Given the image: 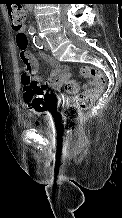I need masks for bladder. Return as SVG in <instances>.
<instances>
[{
  "instance_id": "bladder-1",
  "label": "bladder",
  "mask_w": 122,
  "mask_h": 218,
  "mask_svg": "<svg viewBox=\"0 0 122 218\" xmlns=\"http://www.w3.org/2000/svg\"><path fill=\"white\" fill-rule=\"evenodd\" d=\"M24 125L38 132H46L49 130V121L45 119L42 112H29L24 116Z\"/></svg>"
}]
</instances>
